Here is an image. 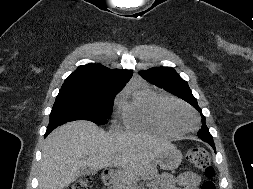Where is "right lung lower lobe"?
<instances>
[{
	"label": "right lung lower lobe",
	"instance_id": "98d812e1",
	"mask_svg": "<svg viewBox=\"0 0 253 189\" xmlns=\"http://www.w3.org/2000/svg\"><path fill=\"white\" fill-rule=\"evenodd\" d=\"M56 127H57V126H52V127H49V126H48L47 131H46L44 137H46V136H47L50 132H52Z\"/></svg>",
	"mask_w": 253,
	"mask_h": 189
}]
</instances>
